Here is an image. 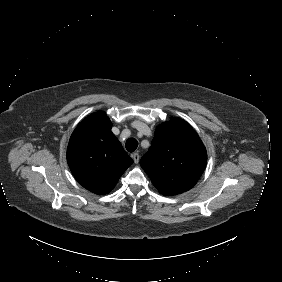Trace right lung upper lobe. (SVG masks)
I'll return each instance as SVG.
<instances>
[{
	"label": "right lung upper lobe",
	"instance_id": "1",
	"mask_svg": "<svg viewBox=\"0 0 282 282\" xmlns=\"http://www.w3.org/2000/svg\"><path fill=\"white\" fill-rule=\"evenodd\" d=\"M111 127L105 112L92 113L79 123L67 148L68 165L75 179L98 195L109 193L133 163Z\"/></svg>",
	"mask_w": 282,
	"mask_h": 282
}]
</instances>
